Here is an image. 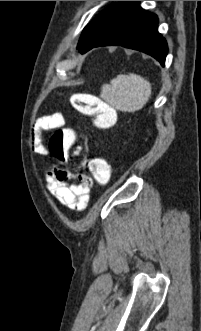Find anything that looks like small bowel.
<instances>
[{
    "mask_svg": "<svg viewBox=\"0 0 201 331\" xmlns=\"http://www.w3.org/2000/svg\"><path fill=\"white\" fill-rule=\"evenodd\" d=\"M65 125L64 117L60 113L44 115L37 119L32 130V150L38 155H47L48 149L43 143V132L62 128ZM81 152V146H75L72 156ZM46 185L58 202L71 210L82 211L86 208L93 180L86 174H73L62 166H54L45 173ZM76 179V182H70Z\"/></svg>",
    "mask_w": 201,
    "mask_h": 331,
    "instance_id": "1",
    "label": "small bowel"
}]
</instances>
